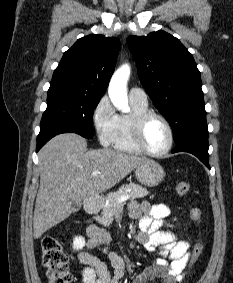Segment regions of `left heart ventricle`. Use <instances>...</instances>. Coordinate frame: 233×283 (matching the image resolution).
<instances>
[{
    "label": "left heart ventricle",
    "mask_w": 233,
    "mask_h": 283,
    "mask_svg": "<svg viewBox=\"0 0 233 283\" xmlns=\"http://www.w3.org/2000/svg\"><path fill=\"white\" fill-rule=\"evenodd\" d=\"M144 142L151 151L159 152L166 148L169 133L161 120L154 118L148 122L144 131Z\"/></svg>",
    "instance_id": "1"
}]
</instances>
